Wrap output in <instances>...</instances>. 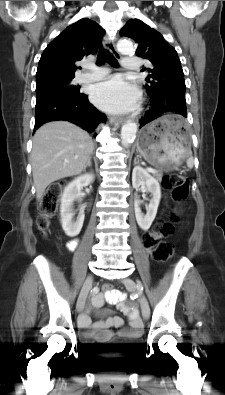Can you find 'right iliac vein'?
Listing matches in <instances>:
<instances>
[{
	"label": "right iliac vein",
	"mask_w": 225,
	"mask_h": 395,
	"mask_svg": "<svg viewBox=\"0 0 225 395\" xmlns=\"http://www.w3.org/2000/svg\"><path fill=\"white\" fill-rule=\"evenodd\" d=\"M92 281H93L92 276L87 277V279L82 287V290L80 292V295L77 300V305H76V309L78 312H81L84 308L87 295L92 287Z\"/></svg>",
	"instance_id": "1"
}]
</instances>
